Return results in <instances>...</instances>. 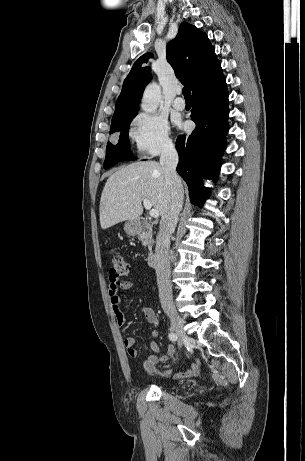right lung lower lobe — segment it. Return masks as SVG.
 Returning <instances> with one entry per match:
<instances>
[{
  "mask_svg": "<svg viewBox=\"0 0 305 461\" xmlns=\"http://www.w3.org/2000/svg\"><path fill=\"white\" fill-rule=\"evenodd\" d=\"M192 94L191 120L196 123V128L190 136L180 135L176 141L177 172L189 187L191 202L202 207L208 197L202 178L216 179L229 129L228 91L223 73Z\"/></svg>",
  "mask_w": 305,
  "mask_h": 461,
  "instance_id": "right-lung-lower-lobe-1",
  "label": "right lung lower lobe"
}]
</instances>
